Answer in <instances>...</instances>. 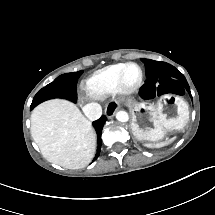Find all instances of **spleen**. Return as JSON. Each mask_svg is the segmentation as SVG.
<instances>
[{"label": "spleen", "instance_id": "spleen-1", "mask_svg": "<svg viewBox=\"0 0 215 215\" xmlns=\"http://www.w3.org/2000/svg\"><path fill=\"white\" fill-rule=\"evenodd\" d=\"M177 138V136H174L172 138H170L169 140L167 141H163V142H159V143H144L143 145L145 147H149V148H161L163 146H166V145H169L170 143H172L175 139Z\"/></svg>", "mask_w": 215, "mask_h": 215}]
</instances>
